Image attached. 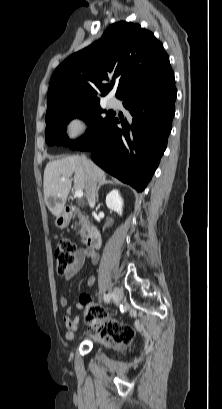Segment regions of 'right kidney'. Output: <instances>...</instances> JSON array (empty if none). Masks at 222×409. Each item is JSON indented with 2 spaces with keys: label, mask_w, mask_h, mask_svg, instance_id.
<instances>
[{
  "label": "right kidney",
  "mask_w": 222,
  "mask_h": 409,
  "mask_svg": "<svg viewBox=\"0 0 222 409\" xmlns=\"http://www.w3.org/2000/svg\"><path fill=\"white\" fill-rule=\"evenodd\" d=\"M106 205L110 210L116 211L120 216L122 215L123 200L117 189L107 194Z\"/></svg>",
  "instance_id": "ca27d5eb"
}]
</instances>
